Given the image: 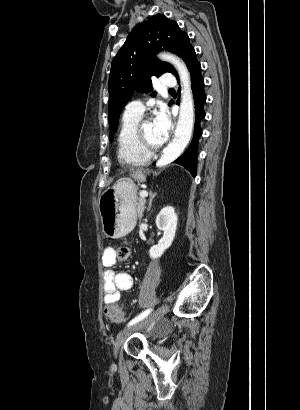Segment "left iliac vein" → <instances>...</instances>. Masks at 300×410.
I'll return each instance as SVG.
<instances>
[{
  "mask_svg": "<svg viewBox=\"0 0 300 410\" xmlns=\"http://www.w3.org/2000/svg\"><path fill=\"white\" fill-rule=\"evenodd\" d=\"M169 311V305H163L161 306L156 312H154L152 315L146 317L145 319L140 320L139 322L127 327L123 331H121L115 342H114V356L117 357L120 347L123 345L125 340L134 332L140 330L141 328L145 327L149 323L161 318L163 315H165Z\"/></svg>",
  "mask_w": 300,
  "mask_h": 410,
  "instance_id": "obj_1",
  "label": "left iliac vein"
}]
</instances>
